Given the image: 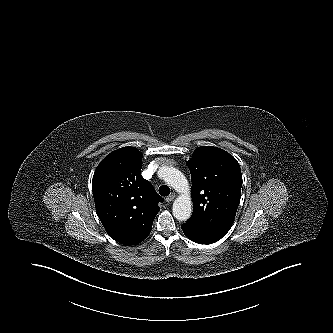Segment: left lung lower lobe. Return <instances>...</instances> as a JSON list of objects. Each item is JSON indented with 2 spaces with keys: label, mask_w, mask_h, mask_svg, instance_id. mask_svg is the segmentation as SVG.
<instances>
[{
  "label": "left lung lower lobe",
  "mask_w": 333,
  "mask_h": 333,
  "mask_svg": "<svg viewBox=\"0 0 333 333\" xmlns=\"http://www.w3.org/2000/svg\"><path fill=\"white\" fill-rule=\"evenodd\" d=\"M182 230L184 234L192 241L199 243V244H211L214 242H217L222 237L202 230L194 225H191L189 223H184L182 226Z\"/></svg>",
  "instance_id": "left-lung-lower-lobe-1"
}]
</instances>
